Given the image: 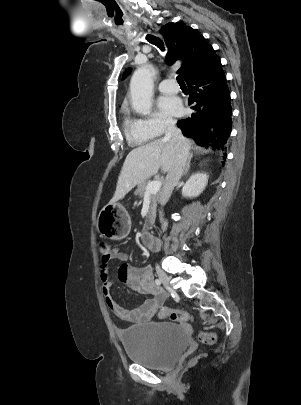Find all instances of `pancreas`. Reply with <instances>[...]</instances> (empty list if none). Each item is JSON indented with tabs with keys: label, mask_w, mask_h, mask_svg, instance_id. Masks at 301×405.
Masks as SVG:
<instances>
[{
	"label": "pancreas",
	"mask_w": 301,
	"mask_h": 405,
	"mask_svg": "<svg viewBox=\"0 0 301 405\" xmlns=\"http://www.w3.org/2000/svg\"><path fill=\"white\" fill-rule=\"evenodd\" d=\"M148 184H149L148 181H144V182L140 183L134 192L135 195H137L141 198L144 197ZM158 198H159L158 194L150 195V208H149V213L147 215V218L145 220V224L142 229L143 233H146L149 229H152V226H153V224L155 222V218H156V208H157Z\"/></svg>",
	"instance_id": "cf45deb5"
}]
</instances>
